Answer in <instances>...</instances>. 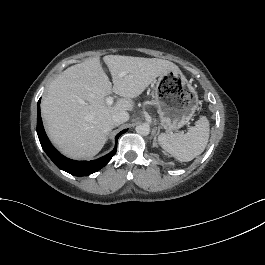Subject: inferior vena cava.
Segmentation results:
<instances>
[{"label": "inferior vena cava", "instance_id": "obj_1", "mask_svg": "<svg viewBox=\"0 0 265 265\" xmlns=\"http://www.w3.org/2000/svg\"><path fill=\"white\" fill-rule=\"evenodd\" d=\"M129 120V113L124 110L116 111L112 115L114 125H120Z\"/></svg>", "mask_w": 265, "mask_h": 265}]
</instances>
